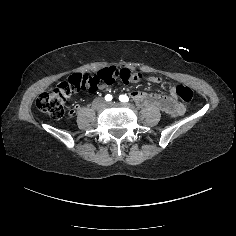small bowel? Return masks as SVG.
I'll return each mask as SVG.
<instances>
[{
    "label": "small bowel",
    "mask_w": 236,
    "mask_h": 236,
    "mask_svg": "<svg viewBox=\"0 0 236 236\" xmlns=\"http://www.w3.org/2000/svg\"><path fill=\"white\" fill-rule=\"evenodd\" d=\"M153 81H156V79H153ZM75 109H76V107L71 111V113H73Z\"/></svg>",
    "instance_id": "c3829d8e"
}]
</instances>
